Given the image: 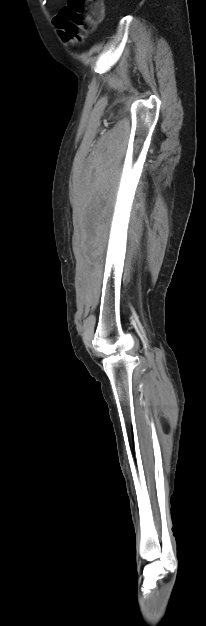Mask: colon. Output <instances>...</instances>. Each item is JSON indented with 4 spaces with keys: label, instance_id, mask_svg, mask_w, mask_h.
I'll return each mask as SVG.
<instances>
[{
    "label": "colon",
    "instance_id": "1",
    "mask_svg": "<svg viewBox=\"0 0 206 626\" xmlns=\"http://www.w3.org/2000/svg\"><path fill=\"white\" fill-rule=\"evenodd\" d=\"M101 0H67L54 22L65 41L79 42L102 20Z\"/></svg>",
    "mask_w": 206,
    "mask_h": 626
}]
</instances>
